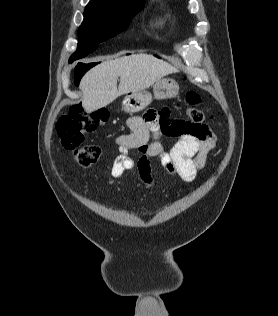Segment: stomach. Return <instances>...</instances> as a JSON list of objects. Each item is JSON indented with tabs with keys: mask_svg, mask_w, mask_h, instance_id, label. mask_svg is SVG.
I'll return each mask as SVG.
<instances>
[{
	"mask_svg": "<svg viewBox=\"0 0 278 316\" xmlns=\"http://www.w3.org/2000/svg\"><path fill=\"white\" fill-rule=\"evenodd\" d=\"M178 83L170 78H163L153 85L154 98L158 100L170 99L178 94ZM152 102V95L148 91H140L125 96L122 108L127 113H136L145 109Z\"/></svg>",
	"mask_w": 278,
	"mask_h": 316,
	"instance_id": "0dacf381",
	"label": "stomach"
}]
</instances>
